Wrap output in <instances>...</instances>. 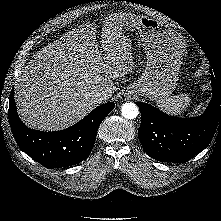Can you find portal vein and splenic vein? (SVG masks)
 Listing matches in <instances>:
<instances>
[{
    "label": "portal vein and splenic vein",
    "mask_w": 221,
    "mask_h": 221,
    "mask_svg": "<svg viewBox=\"0 0 221 221\" xmlns=\"http://www.w3.org/2000/svg\"><path fill=\"white\" fill-rule=\"evenodd\" d=\"M98 61H99V63H100V62H101V59L99 58Z\"/></svg>",
    "instance_id": "obj_1"
}]
</instances>
